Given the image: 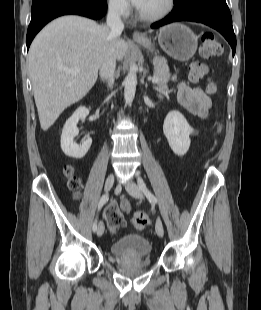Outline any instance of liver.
Returning a JSON list of instances; mask_svg holds the SVG:
<instances>
[{
  "instance_id": "1",
  "label": "liver",
  "mask_w": 261,
  "mask_h": 310,
  "mask_svg": "<svg viewBox=\"0 0 261 310\" xmlns=\"http://www.w3.org/2000/svg\"><path fill=\"white\" fill-rule=\"evenodd\" d=\"M128 52L124 39L95 21L67 15L44 27L28 52L29 74L43 131L94 86L106 56L121 61ZM66 68L79 69L67 73Z\"/></svg>"
}]
</instances>
